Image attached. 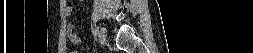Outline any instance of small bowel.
I'll return each mask as SVG.
<instances>
[{
  "label": "small bowel",
  "mask_w": 253,
  "mask_h": 53,
  "mask_svg": "<svg viewBox=\"0 0 253 53\" xmlns=\"http://www.w3.org/2000/svg\"><path fill=\"white\" fill-rule=\"evenodd\" d=\"M66 31H67V36L72 43L76 44L79 42V39H78L77 35L75 34L73 26L71 24H68L66 26Z\"/></svg>",
  "instance_id": "c3829d8e"
}]
</instances>
